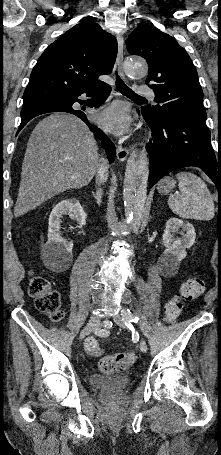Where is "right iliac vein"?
I'll use <instances>...</instances> for the list:
<instances>
[{
	"mask_svg": "<svg viewBox=\"0 0 221 455\" xmlns=\"http://www.w3.org/2000/svg\"><path fill=\"white\" fill-rule=\"evenodd\" d=\"M99 325V318L96 315H92L89 320L87 325L84 327V329L80 333V339L85 338L87 335H89L94 329H96Z\"/></svg>",
	"mask_w": 221,
	"mask_h": 455,
	"instance_id": "1",
	"label": "right iliac vein"
}]
</instances>
